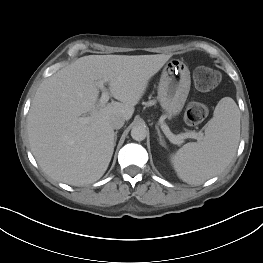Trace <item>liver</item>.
Here are the masks:
<instances>
[{"instance_id": "liver-1", "label": "liver", "mask_w": 263, "mask_h": 263, "mask_svg": "<svg viewBox=\"0 0 263 263\" xmlns=\"http://www.w3.org/2000/svg\"><path fill=\"white\" fill-rule=\"evenodd\" d=\"M172 55H88L63 67L39 86L28 114L31 151L52 179L80 186L108 168L115 133L111 119L129 120L149 80ZM98 82H108L118 101L100 105ZM89 114L87 123L81 116Z\"/></svg>"}]
</instances>
